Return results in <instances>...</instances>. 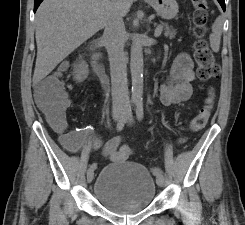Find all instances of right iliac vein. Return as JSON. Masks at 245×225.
Instances as JSON below:
<instances>
[{
	"mask_svg": "<svg viewBox=\"0 0 245 225\" xmlns=\"http://www.w3.org/2000/svg\"><path fill=\"white\" fill-rule=\"evenodd\" d=\"M124 111L123 110H117L113 113V119L118 121L122 118ZM94 178V170L93 169H88L87 171V181L88 183H91Z\"/></svg>",
	"mask_w": 245,
	"mask_h": 225,
	"instance_id": "right-iliac-vein-1",
	"label": "right iliac vein"
}]
</instances>
